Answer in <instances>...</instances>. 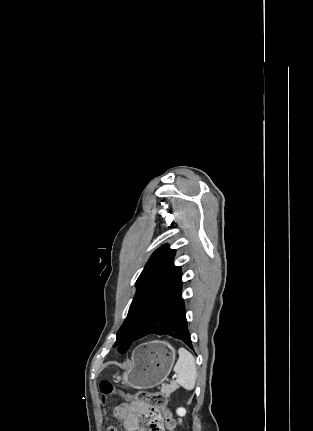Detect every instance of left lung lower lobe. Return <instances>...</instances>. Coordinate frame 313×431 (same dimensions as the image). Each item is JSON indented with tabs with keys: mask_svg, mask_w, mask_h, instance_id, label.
I'll return each mask as SVG.
<instances>
[{
	"mask_svg": "<svg viewBox=\"0 0 313 431\" xmlns=\"http://www.w3.org/2000/svg\"><path fill=\"white\" fill-rule=\"evenodd\" d=\"M150 334L172 336L182 340L193 349L190 333L187 328L184 302L181 293L163 306L150 319L135 340Z\"/></svg>",
	"mask_w": 313,
	"mask_h": 431,
	"instance_id": "obj_1",
	"label": "left lung lower lobe"
}]
</instances>
